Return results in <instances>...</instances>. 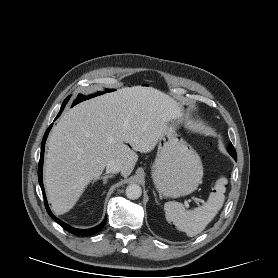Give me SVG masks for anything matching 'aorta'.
Listing matches in <instances>:
<instances>
[{"instance_id": "aorta-1", "label": "aorta", "mask_w": 278, "mask_h": 278, "mask_svg": "<svg viewBox=\"0 0 278 278\" xmlns=\"http://www.w3.org/2000/svg\"><path fill=\"white\" fill-rule=\"evenodd\" d=\"M142 194V189L138 184H130L126 188V196L129 199H138Z\"/></svg>"}]
</instances>
